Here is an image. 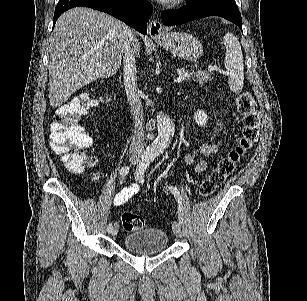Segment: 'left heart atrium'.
Returning a JSON list of instances; mask_svg holds the SVG:
<instances>
[{
  "label": "left heart atrium",
  "mask_w": 307,
  "mask_h": 301,
  "mask_svg": "<svg viewBox=\"0 0 307 301\" xmlns=\"http://www.w3.org/2000/svg\"><path fill=\"white\" fill-rule=\"evenodd\" d=\"M163 4H176L177 0H162Z\"/></svg>",
  "instance_id": "1"
}]
</instances>
